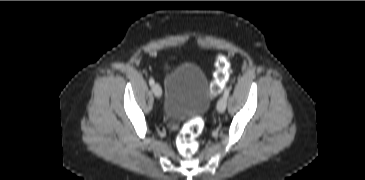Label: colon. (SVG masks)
I'll return each instance as SVG.
<instances>
[{"label": "colon", "mask_w": 365, "mask_h": 180, "mask_svg": "<svg viewBox=\"0 0 365 180\" xmlns=\"http://www.w3.org/2000/svg\"><path fill=\"white\" fill-rule=\"evenodd\" d=\"M230 75V65L223 56H218L215 63L214 79L211 83V92L219 94ZM204 122L201 119H193L183 126L177 137V149L185 157L195 155L199 149L198 137L202 133Z\"/></svg>", "instance_id": "obj_1"}]
</instances>
